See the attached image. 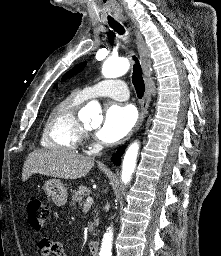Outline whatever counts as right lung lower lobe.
<instances>
[{
    "instance_id": "98d812e1",
    "label": "right lung lower lobe",
    "mask_w": 221,
    "mask_h": 256,
    "mask_svg": "<svg viewBox=\"0 0 221 256\" xmlns=\"http://www.w3.org/2000/svg\"><path fill=\"white\" fill-rule=\"evenodd\" d=\"M125 148L121 147L115 154L112 156L114 164L119 165L121 163L120 156L123 154Z\"/></svg>"
}]
</instances>
